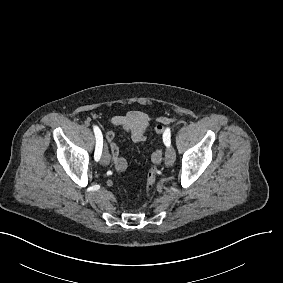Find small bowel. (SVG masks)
I'll list each match as a JSON object with an SVG mask.
<instances>
[{"label": "small bowel", "instance_id": "c3829d8e", "mask_svg": "<svg viewBox=\"0 0 283 283\" xmlns=\"http://www.w3.org/2000/svg\"><path fill=\"white\" fill-rule=\"evenodd\" d=\"M169 121L170 119L165 118L162 122L167 123ZM110 122L114 126L119 127L130 134L133 141L142 142L146 138V132L152 123V117L146 112L131 110L126 112L125 114L113 115L110 118ZM154 131L157 135L163 136L165 134V127L162 123H158L155 125ZM105 137L107 142L109 143L110 154L115 170L118 173L124 172L127 168V161L120 154L119 146L116 142L115 132L108 131Z\"/></svg>", "mask_w": 283, "mask_h": 283}]
</instances>
